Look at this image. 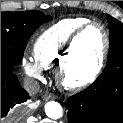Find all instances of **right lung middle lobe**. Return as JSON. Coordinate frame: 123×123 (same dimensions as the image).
<instances>
[{
	"label": "right lung middle lobe",
	"mask_w": 123,
	"mask_h": 123,
	"mask_svg": "<svg viewBox=\"0 0 123 123\" xmlns=\"http://www.w3.org/2000/svg\"><path fill=\"white\" fill-rule=\"evenodd\" d=\"M50 20L38 10L1 12V69L12 71L21 62L31 35Z\"/></svg>",
	"instance_id": "obj_1"
}]
</instances>
